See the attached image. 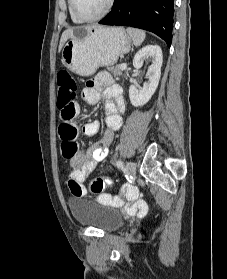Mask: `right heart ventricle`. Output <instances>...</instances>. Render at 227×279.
Returning <instances> with one entry per match:
<instances>
[{"instance_id":"right-heart-ventricle-1","label":"right heart ventricle","mask_w":227,"mask_h":279,"mask_svg":"<svg viewBox=\"0 0 227 279\" xmlns=\"http://www.w3.org/2000/svg\"><path fill=\"white\" fill-rule=\"evenodd\" d=\"M67 7H68V12H69V14H70L71 21H72L73 23H81V21L78 20V19L73 15V13H72L70 0H68Z\"/></svg>"}]
</instances>
